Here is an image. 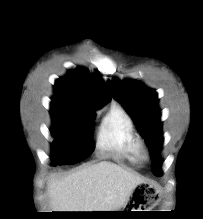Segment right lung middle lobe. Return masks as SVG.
Returning a JSON list of instances; mask_svg holds the SVG:
<instances>
[{
  "label": "right lung middle lobe",
  "instance_id": "1",
  "mask_svg": "<svg viewBox=\"0 0 203 219\" xmlns=\"http://www.w3.org/2000/svg\"><path fill=\"white\" fill-rule=\"evenodd\" d=\"M51 130L56 139L53 147L54 164H73L87 158L93 151L92 124L95 111L68 100L53 98Z\"/></svg>",
  "mask_w": 203,
  "mask_h": 219
}]
</instances>
